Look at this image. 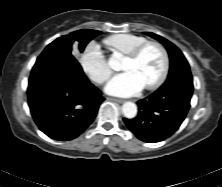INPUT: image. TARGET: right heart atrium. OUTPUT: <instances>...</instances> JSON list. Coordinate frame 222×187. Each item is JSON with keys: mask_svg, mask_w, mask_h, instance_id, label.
Returning <instances> with one entry per match:
<instances>
[{"mask_svg": "<svg viewBox=\"0 0 222 187\" xmlns=\"http://www.w3.org/2000/svg\"><path fill=\"white\" fill-rule=\"evenodd\" d=\"M80 64L82 69L96 83H104L111 74L112 68L98 43L89 42L80 55Z\"/></svg>", "mask_w": 222, "mask_h": 187, "instance_id": "1", "label": "right heart atrium"}]
</instances>
